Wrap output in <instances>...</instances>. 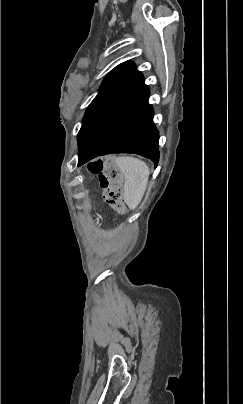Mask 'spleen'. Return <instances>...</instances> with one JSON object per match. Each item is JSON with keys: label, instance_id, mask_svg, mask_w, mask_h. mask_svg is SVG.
I'll list each match as a JSON object with an SVG mask.
<instances>
[{"label": "spleen", "instance_id": "obj_1", "mask_svg": "<svg viewBox=\"0 0 243 404\" xmlns=\"http://www.w3.org/2000/svg\"><path fill=\"white\" fill-rule=\"evenodd\" d=\"M116 164L124 176V202L130 210H135L146 192L149 168L143 160L130 156L116 158Z\"/></svg>", "mask_w": 243, "mask_h": 404}]
</instances>
